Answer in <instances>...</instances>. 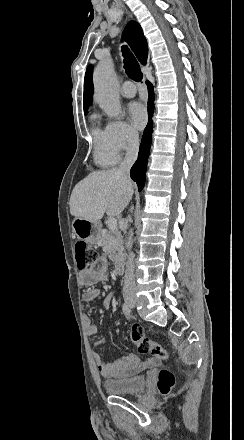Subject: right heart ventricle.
<instances>
[{"instance_id": "e07e8e85", "label": "right heart ventricle", "mask_w": 244, "mask_h": 440, "mask_svg": "<svg viewBox=\"0 0 244 440\" xmlns=\"http://www.w3.org/2000/svg\"><path fill=\"white\" fill-rule=\"evenodd\" d=\"M90 122L92 130L96 134L94 135L92 132L94 141L96 143L95 161L101 166H111L116 164L120 159L118 153L111 152L107 150V148L105 150L99 149L100 145L106 144L105 132L99 127V116L97 114H92L90 116Z\"/></svg>"}]
</instances>
